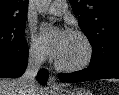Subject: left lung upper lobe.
Listing matches in <instances>:
<instances>
[{
    "instance_id": "obj_1",
    "label": "left lung upper lobe",
    "mask_w": 119,
    "mask_h": 95,
    "mask_svg": "<svg viewBox=\"0 0 119 95\" xmlns=\"http://www.w3.org/2000/svg\"><path fill=\"white\" fill-rule=\"evenodd\" d=\"M70 3L92 45L91 64L103 66L119 54V1L70 0Z\"/></svg>"
}]
</instances>
